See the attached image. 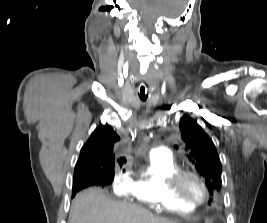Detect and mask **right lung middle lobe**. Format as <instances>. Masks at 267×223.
I'll use <instances>...</instances> for the list:
<instances>
[{
  "label": "right lung middle lobe",
  "instance_id": "dd1d6c3e",
  "mask_svg": "<svg viewBox=\"0 0 267 223\" xmlns=\"http://www.w3.org/2000/svg\"><path fill=\"white\" fill-rule=\"evenodd\" d=\"M104 177L108 179H113L114 178V167H110L104 172Z\"/></svg>",
  "mask_w": 267,
  "mask_h": 223
}]
</instances>
